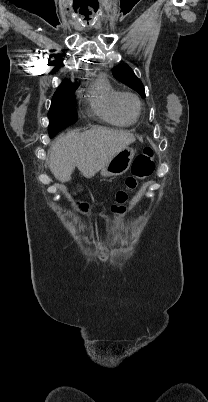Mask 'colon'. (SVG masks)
<instances>
[{
    "instance_id": "obj_1",
    "label": "colon",
    "mask_w": 208,
    "mask_h": 402,
    "mask_svg": "<svg viewBox=\"0 0 208 402\" xmlns=\"http://www.w3.org/2000/svg\"><path fill=\"white\" fill-rule=\"evenodd\" d=\"M154 148L148 144L139 153L131 165V174L125 178L124 186L116 191L115 202L112 205V212L116 216V221L124 213V204L128 200V195L135 191L139 181L151 176L154 170ZM83 188L78 187L77 193L81 194Z\"/></svg>"
}]
</instances>
